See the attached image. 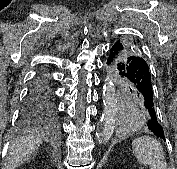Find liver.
Instances as JSON below:
<instances>
[{
	"label": "liver",
	"instance_id": "6515ba94",
	"mask_svg": "<svg viewBox=\"0 0 177 169\" xmlns=\"http://www.w3.org/2000/svg\"><path fill=\"white\" fill-rule=\"evenodd\" d=\"M40 144L42 139L32 134L15 141L10 148L5 169H15L21 163L29 161Z\"/></svg>",
	"mask_w": 177,
	"mask_h": 169
}]
</instances>
